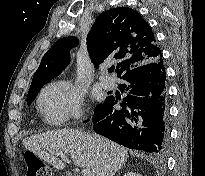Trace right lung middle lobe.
<instances>
[{"instance_id":"1","label":"right lung middle lobe","mask_w":205,"mask_h":176,"mask_svg":"<svg viewBox=\"0 0 205 176\" xmlns=\"http://www.w3.org/2000/svg\"><path fill=\"white\" fill-rule=\"evenodd\" d=\"M41 89V87H38L30 92H28V96H27V104L30 105L31 102L34 100V98L36 97V95L38 94L39 90ZM98 107V106H97ZM96 107V108H97Z\"/></svg>"}]
</instances>
